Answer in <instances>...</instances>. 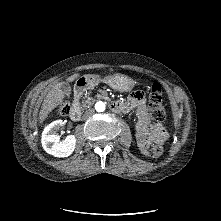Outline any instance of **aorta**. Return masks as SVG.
Segmentation results:
<instances>
[{"mask_svg": "<svg viewBox=\"0 0 221 221\" xmlns=\"http://www.w3.org/2000/svg\"><path fill=\"white\" fill-rule=\"evenodd\" d=\"M95 110L97 112H103L105 110V103L102 101H99L95 104Z\"/></svg>", "mask_w": 221, "mask_h": 221, "instance_id": "obj_1", "label": "aorta"}]
</instances>
